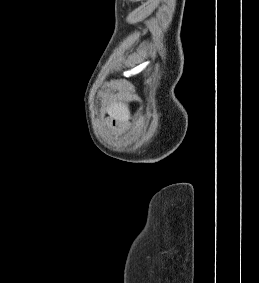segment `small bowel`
Segmentation results:
<instances>
[{"instance_id": "obj_1", "label": "small bowel", "mask_w": 259, "mask_h": 283, "mask_svg": "<svg viewBox=\"0 0 259 283\" xmlns=\"http://www.w3.org/2000/svg\"><path fill=\"white\" fill-rule=\"evenodd\" d=\"M108 129L115 135H123L126 132V128L120 124V123H115L114 121H110L108 124Z\"/></svg>"}]
</instances>
